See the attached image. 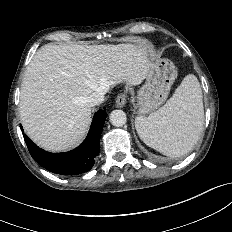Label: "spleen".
<instances>
[{
	"label": "spleen",
	"instance_id": "3e777b00",
	"mask_svg": "<svg viewBox=\"0 0 232 232\" xmlns=\"http://www.w3.org/2000/svg\"><path fill=\"white\" fill-rule=\"evenodd\" d=\"M203 121L200 84L189 74L162 108L148 117L137 116L135 126L146 145L166 156L180 157L197 143Z\"/></svg>",
	"mask_w": 232,
	"mask_h": 232
}]
</instances>
